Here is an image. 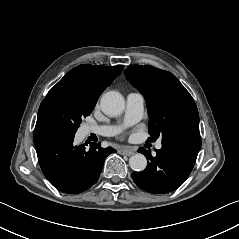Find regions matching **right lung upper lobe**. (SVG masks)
Returning <instances> with one entry per match:
<instances>
[{
  "label": "right lung upper lobe",
  "mask_w": 239,
  "mask_h": 239,
  "mask_svg": "<svg viewBox=\"0 0 239 239\" xmlns=\"http://www.w3.org/2000/svg\"><path fill=\"white\" fill-rule=\"evenodd\" d=\"M122 69L123 66L80 65L70 70L56 86H64L77 96L96 103Z\"/></svg>",
  "instance_id": "1"
}]
</instances>
